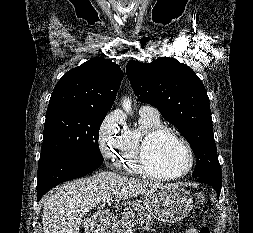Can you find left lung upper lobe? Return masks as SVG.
<instances>
[{"instance_id": "5c2ea615", "label": "left lung upper lobe", "mask_w": 253, "mask_h": 233, "mask_svg": "<svg viewBox=\"0 0 253 233\" xmlns=\"http://www.w3.org/2000/svg\"><path fill=\"white\" fill-rule=\"evenodd\" d=\"M126 72L138 99L156 107L190 144L197 157L192 176L222 179L209 98L194 71L162 57L149 64L130 60Z\"/></svg>"}]
</instances>
